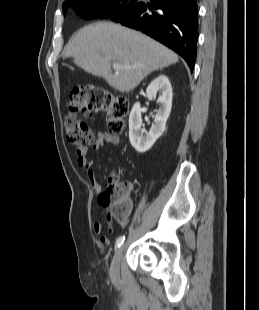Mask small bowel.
<instances>
[{"instance_id":"small-bowel-1","label":"small bowel","mask_w":259,"mask_h":310,"mask_svg":"<svg viewBox=\"0 0 259 310\" xmlns=\"http://www.w3.org/2000/svg\"><path fill=\"white\" fill-rule=\"evenodd\" d=\"M119 143V137L110 133H105V132H98L96 135V138L93 143V149L98 150L101 147H103L105 144H112L116 145ZM87 152L88 149L86 147H77L76 148V161L77 164L80 168H83L86 171L88 180L90 182V185L93 189V191L98 194L101 191V185L97 180V175L93 169V161L89 160L87 158ZM127 187L129 191L132 190V184L127 183ZM107 221L110 222V218H107ZM128 223V218L124 217L121 219L120 224L122 226H125ZM112 231V229H109ZM93 231L96 234H101L102 233V224L99 222H95L93 224ZM101 242L102 243H107L108 238L106 236H101Z\"/></svg>"}]
</instances>
